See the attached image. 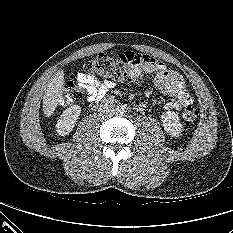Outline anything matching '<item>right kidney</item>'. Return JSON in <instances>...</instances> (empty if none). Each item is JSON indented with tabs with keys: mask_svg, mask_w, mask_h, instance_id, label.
<instances>
[{
	"mask_svg": "<svg viewBox=\"0 0 233 233\" xmlns=\"http://www.w3.org/2000/svg\"><path fill=\"white\" fill-rule=\"evenodd\" d=\"M81 113V107L78 105L70 106L65 109L56 124V131L59 135L64 136L70 133Z\"/></svg>",
	"mask_w": 233,
	"mask_h": 233,
	"instance_id": "1",
	"label": "right kidney"
}]
</instances>
